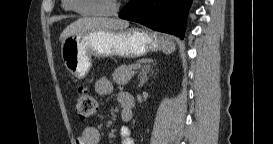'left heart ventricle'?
Listing matches in <instances>:
<instances>
[{
  "label": "left heart ventricle",
  "instance_id": "b2bd125f",
  "mask_svg": "<svg viewBox=\"0 0 273 144\" xmlns=\"http://www.w3.org/2000/svg\"><path fill=\"white\" fill-rule=\"evenodd\" d=\"M115 0H77L79 8L84 10H104L110 8Z\"/></svg>",
  "mask_w": 273,
  "mask_h": 144
}]
</instances>
